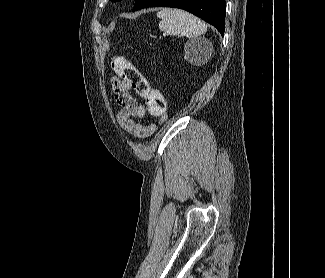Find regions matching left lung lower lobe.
I'll return each instance as SVG.
<instances>
[{"mask_svg":"<svg viewBox=\"0 0 325 278\" xmlns=\"http://www.w3.org/2000/svg\"><path fill=\"white\" fill-rule=\"evenodd\" d=\"M147 7H174L184 9L210 23L224 35L225 0H136L133 12Z\"/></svg>","mask_w":325,"mask_h":278,"instance_id":"1","label":"left lung lower lobe"}]
</instances>
